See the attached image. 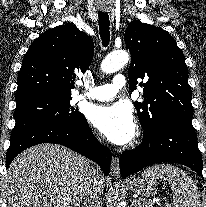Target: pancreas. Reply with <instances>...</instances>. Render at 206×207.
<instances>
[{
  "label": "pancreas",
  "mask_w": 206,
  "mask_h": 207,
  "mask_svg": "<svg viewBox=\"0 0 206 207\" xmlns=\"http://www.w3.org/2000/svg\"><path fill=\"white\" fill-rule=\"evenodd\" d=\"M140 201H141V203H143V205H141L140 207H152L151 202H149V201H142V200H140Z\"/></svg>",
  "instance_id": "pancreas-1"
}]
</instances>
